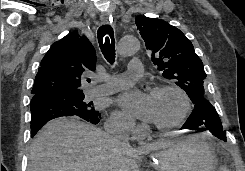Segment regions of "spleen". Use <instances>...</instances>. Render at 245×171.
Instances as JSON below:
<instances>
[{
	"label": "spleen",
	"instance_id": "3e777b00",
	"mask_svg": "<svg viewBox=\"0 0 245 171\" xmlns=\"http://www.w3.org/2000/svg\"><path fill=\"white\" fill-rule=\"evenodd\" d=\"M219 171H230L225 165L219 168Z\"/></svg>",
	"mask_w": 245,
	"mask_h": 171
}]
</instances>
